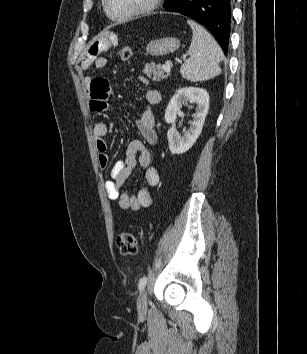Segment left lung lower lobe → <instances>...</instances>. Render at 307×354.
Here are the masks:
<instances>
[{"label":"left lung lower lobe","instance_id":"1","mask_svg":"<svg viewBox=\"0 0 307 354\" xmlns=\"http://www.w3.org/2000/svg\"><path fill=\"white\" fill-rule=\"evenodd\" d=\"M166 11L178 12L204 25L219 42L227 54L230 24L231 0H171Z\"/></svg>","mask_w":307,"mask_h":354}]
</instances>
